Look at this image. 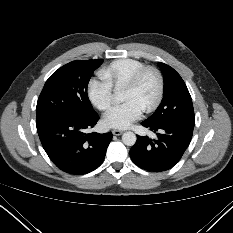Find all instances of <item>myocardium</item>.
Wrapping results in <instances>:
<instances>
[{
	"label": "myocardium",
	"mask_w": 233,
	"mask_h": 233,
	"mask_svg": "<svg viewBox=\"0 0 233 233\" xmlns=\"http://www.w3.org/2000/svg\"><path fill=\"white\" fill-rule=\"evenodd\" d=\"M148 74L155 76L157 81V94L155 99L144 109L145 112L150 113L156 110L161 104L164 92H165V81L162 72L154 66H144L136 71L131 78L126 82L125 87L137 88L144 77Z\"/></svg>",
	"instance_id": "myocardium-1"
}]
</instances>
